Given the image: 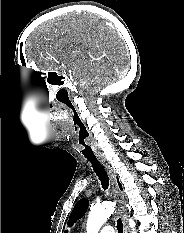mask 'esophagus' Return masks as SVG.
<instances>
[{"instance_id":"esophagus-1","label":"esophagus","mask_w":184,"mask_h":233,"mask_svg":"<svg viewBox=\"0 0 184 233\" xmlns=\"http://www.w3.org/2000/svg\"><path fill=\"white\" fill-rule=\"evenodd\" d=\"M99 160L102 163V165L105 167V169L109 175L110 183H111V194H112L113 198L115 199L116 203L118 204L117 212L121 215L124 233H127L128 226L126 223V215L124 212L125 200H124V198L121 195V192L119 190L117 180H116L115 171H114L112 165L110 164V162L106 158L99 157Z\"/></svg>"}]
</instances>
